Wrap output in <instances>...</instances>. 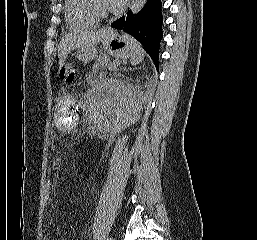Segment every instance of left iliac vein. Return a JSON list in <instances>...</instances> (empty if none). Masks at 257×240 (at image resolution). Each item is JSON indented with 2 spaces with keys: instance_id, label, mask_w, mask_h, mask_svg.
I'll return each mask as SVG.
<instances>
[{
  "instance_id": "1",
  "label": "left iliac vein",
  "mask_w": 257,
  "mask_h": 240,
  "mask_svg": "<svg viewBox=\"0 0 257 240\" xmlns=\"http://www.w3.org/2000/svg\"><path fill=\"white\" fill-rule=\"evenodd\" d=\"M107 240H114V238L113 237H109Z\"/></svg>"
}]
</instances>
